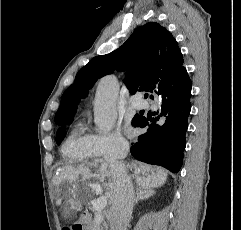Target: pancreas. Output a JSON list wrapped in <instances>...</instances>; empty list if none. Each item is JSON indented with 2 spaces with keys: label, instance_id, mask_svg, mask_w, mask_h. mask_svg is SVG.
<instances>
[{
  "label": "pancreas",
  "instance_id": "obj_1",
  "mask_svg": "<svg viewBox=\"0 0 241 230\" xmlns=\"http://www.w3.org/2000/svg\"><path fill=\"white\" fill-rule=\"evenodd\" d=\"M89 226L90 230H104L107 226L104 215L102 213L96 214V212H94V218L89 221Z\"/></svg>",
  "mask_w": 241,
  "mask_h": 230
}]
</instances>
